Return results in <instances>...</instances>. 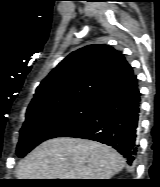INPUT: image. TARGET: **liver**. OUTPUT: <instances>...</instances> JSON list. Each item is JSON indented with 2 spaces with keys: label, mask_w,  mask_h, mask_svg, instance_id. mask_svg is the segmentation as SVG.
Masks as SVG:
<instances>
[{
  "label": "liver",
  "mask_w": 160,
  "mask_h": 187,
  "mask_svg": "<svg viewBox=\"0 0 160 187\" xmlns=\"http://www.w3.org/2000/svg\"><path fill=\"white\" fill-rule=\"evenodd\" d=\"M125 166L113 148L87 139L58 137L36 147L18 164V179H110Z\"/></svg>",
  "instance_id": "liver-1"
}]
</instances>
